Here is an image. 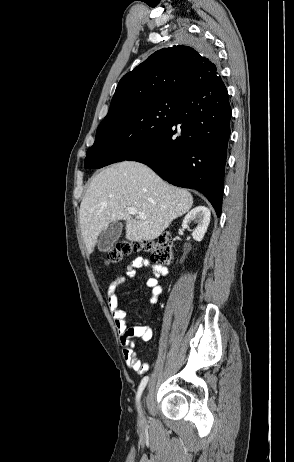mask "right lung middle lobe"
<instances>
[{
    "instance_id": "1",
    "label": "right lung middle lobe",
    "mask_w": 294,
    "mask_h": 462,
    "mask_svg": "<svg viewBox=\"0 0 294 462\" xmlns=\"http://www.w3.org/2000/svg\"><path fill=\"white\" fill-rule=\"evenodd\" d=\"M179 41L198 51L214 53L203 37L183 34ZM183 98L164 95L107 114L98 126L95 142L86 155L99 153L105 166L126 160L141 144L165 128L180 108Z\"/></svg>"
}]
</instances>
